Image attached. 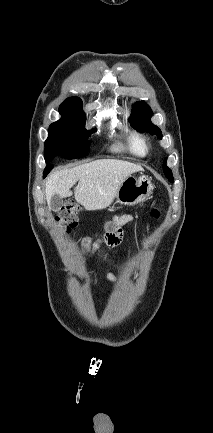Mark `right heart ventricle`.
Instances as JSON below:
<instances>
[{
    "mask_svg": "<svg viewBox=\"0 0 213 433\" xmlns=\"http://www.w3.org/2000/svg\"><path fill=\"white\" fill-rule=\"evenodd\" d=\"M127 148L130 152L139 156H144L147 153V144L138 134H131L128 137Z\"/></svg>",
    "mask_w": 213,
    "mask_h": 433,
    "instance_id": "e07e8e85",
    "label": "right heart ventricle"
}]
</instances>
